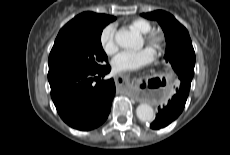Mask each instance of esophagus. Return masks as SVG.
I'll list each match as a JSON object with an SVG mask.
<instances>
[{"label":"esophagus","mask_w":230,"mask_h":155,"mask_svg":"<svg viewBox=\"0 0 230 155\" xmlns=\"http://www.w3.org/2000/svg\"><path fill=\"white\" fill-rule=\"evenodd\" d=\"M120 77L124 79V76H120Z\"/></svg>","instance_id":"34e87169"}]
</instances>
